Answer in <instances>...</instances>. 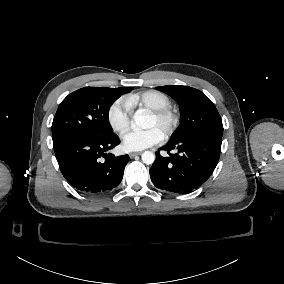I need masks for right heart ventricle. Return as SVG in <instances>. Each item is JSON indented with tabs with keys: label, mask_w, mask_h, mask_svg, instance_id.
<instances>
[{
	"label": "right heart ventricle",
	"mask_w": 284,
	"mask_h": 284,
	"mask_svg": "<svg viewBox=\"0 0 284 284\" xmlns=\"http://www.w3.org/2000/svg\"><path fill=\"white\" fill-rule=\"evenodd\" d=\"M131 100L133 105H139L149 110L170 108L172 106L170 97L166 93L155 89H148L135 94Z\"/></svg>",
	"instance_id": "right-heart-ventricle-1"
}]
</instances>
